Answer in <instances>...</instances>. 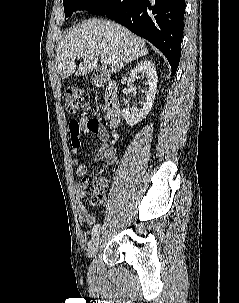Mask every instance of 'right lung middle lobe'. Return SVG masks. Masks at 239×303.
Wrapping results in <instances>:
<instances>
[{"mask_svg": "<svg viewBox=\"0 0 239 303\" xmlns=\"http://www.w3.org/2000/svg\"><path fill=\"white\" fill-rule=\"evenodd\" d=\"M105 0H63L65 18L70 17L78 10L91 12L99 7Z\"/></svg>", "mask_w": 239, "mask_h": 303, "instance_id": "1", "label": "right lung middle lobe"}]
</instances>
